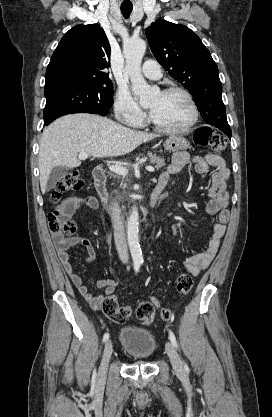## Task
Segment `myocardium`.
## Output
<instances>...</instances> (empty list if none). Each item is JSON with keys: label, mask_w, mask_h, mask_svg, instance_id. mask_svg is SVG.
Masks as SVG:
<instances>
[{"label": "myocardium", "mask_w": 272, "mask_h": 417, "mask_svg": "<svg viewBox=\"0 0 272 417\" xmlns=\"http://www.w3.org/2000/svg\"><path fill=\"white\" fill-rule=\"evenodd\" d=\"M162 95L167 96V95H172V94H180L182 96H184L186 98V100L188 101L190 108H191V112H192V116L190 121L179 128H168V127H164L161 126L160 124H158L153 117L151 116V114L149 113L148 115V122L151 126H153L157 131L164 133V134H171V135H177V134H184L189 132L197 123L198 118H199V108L197 106V103L193 97V95L186 89L181 88V87H169L166 88L164 90H162L161 92Z\"/></svg>", "instance_id": "1"}]
</instances>
